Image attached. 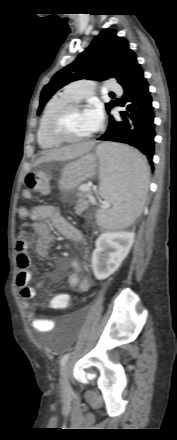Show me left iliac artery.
<instances>
[{"instance_id": "44dca946", "label": "left iliac artery", "mask_w": 177, "mask_h": 440, "mask_svg": "<svg viewBox=\"0 0 177 440\" xmlns=\"http://www.w3.org/2000/svg\"><path fill=\"white\" fill-rule=\"evenodd\" d=\"M69 356H70V354H65L63 357H62V359H61V369L63 368V366L66 364V362L68 361V359H69Z\"/></svg>"}]
</instances>
